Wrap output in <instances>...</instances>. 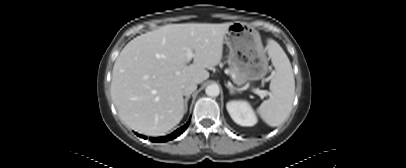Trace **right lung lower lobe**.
I'll return each mask as SVG.
<instances>
[{
	"label": "right lung lower lobe",
	"instance_id": "obj_1",
	"mask_svg": "<svg viewBox=\"0 0 406 168\" xmlns=\"http://www.w3.org/2000/svg\"><path fill=\"white\" fill-rule=\"evenodd\" d=\"M189 122H190V120L184 126L180 127L179 129H177L176 131H174L170 135H167V136H164V137H159V138H153L152 141L153 142H166V141L175 139L176 137H178L180 134H182L186 130V128L189 125ZM138 136H140L141 138L147 139L146 136H142V135H139V134H138Z\"/></svg>",
	"mask_w": 406,
	"mask_h": 168
}]
</instances>
